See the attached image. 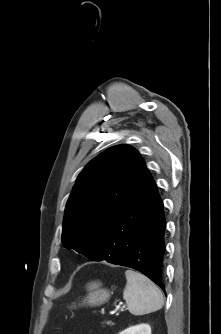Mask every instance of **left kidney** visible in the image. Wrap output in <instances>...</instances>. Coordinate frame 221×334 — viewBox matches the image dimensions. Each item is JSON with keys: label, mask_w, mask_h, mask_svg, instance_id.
I'll list each match as a JSON object with an SVG mask.
<instances>
[{"label": "left kidney", "mask_w": 221, "mask_h": 334, "mask_svg": "<svg viewBox=\"0 0 221 334\" xmlns=\"http://www.w3.org/2000/svg\"><path fill=\"white\" fill-rule=\"evenodd\" d=\"M119 334H151V327L148 324H140L129 327Z\"/></svg>", "instance_id": "5707ae66"}]
</instances>
